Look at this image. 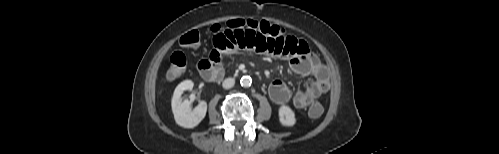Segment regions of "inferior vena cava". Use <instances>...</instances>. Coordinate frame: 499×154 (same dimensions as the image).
<instances>
[{"label": "inferior vena cava", "mask_w": 499, "mask_h": 154, "mask_svg": "<svg viewBox=\"0 0 499 154\" xmlns=\"http://www.w3.org/2000/svg\"><path fill=\"white\" fill-rule=\"evenodd\" d=\"M234 84H235V80L233 78H227L223 81L222 87L224 89H230L234 86Z\"/></svg>", "instance_id": "602c4592"}]
</instances>
